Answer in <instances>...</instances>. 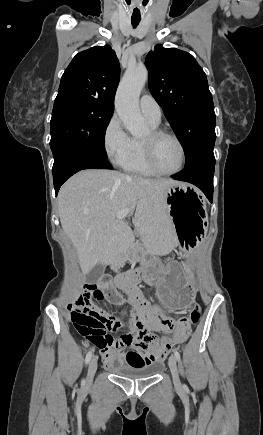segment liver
<instances>
[{
    "label": "liver",
    "mask_w": 263,
    "mask_h": 435,
    "mask_svg": "<svg viewBox=\"0 0 263 435\" xmlns=\"http://www.w3.org/2000/svg\"><path fill=\"white\" fill-rule=\"evenodd\" d=\"M173 179H145L117 171L83 170L71 177L58 194L62 229L75 246L83 274L96 264H114L134 241L117 213L134 214L133 224L149 251L169 254L177 244L167 214L166 190Z\"/></svg>",
    "instance_id": "obj_1"
}]
</instances>
